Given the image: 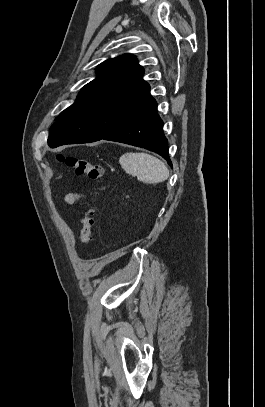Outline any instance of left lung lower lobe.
<instances>
[{
	"label": "left lung lower lobe",
	"mask_w": 265,
	"mask_h": 407,
	"mask_svg": "<svg viewBox=\"0 0 265 407\" xmlns=\"http://www.w3.org/2000/svg\"><path fill=\"white\" fill-rule=\"evenodd\" d=\"M156 108L157 104L146 113L121 126L103 139L154 151L166 159L169 165L172 166L168 154L167 139L163 133V122Z\"/></svg>",
	"instance_id": "1"
}]
</instances>
